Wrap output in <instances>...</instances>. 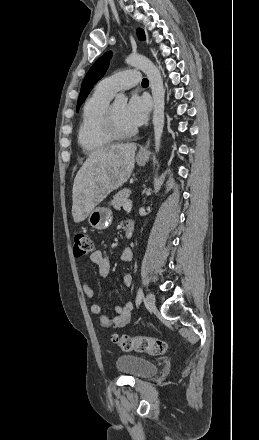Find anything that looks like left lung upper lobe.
I'll return each instance as SVG.
<instances>
[{
	"label": "left lung upper lobe",
	"instance_id": "5c2ea615",
	"mask_svg": "<svg viewBox=\"0 0 259 440\" xmlns=\"http://www.w3.org/2000/svg\"><path fill=\"white\" fill-rule=\"evenodd\" d=\"M138 36L141 40L145 39L144 31L139 29ZM111 56H112L111 51L106 52L92 65V67L86 74L82 82L81 91L77 103V110L84 102L88 94L90 93L91 88L96 84L97 81H99L104 76L105 72L108 69L109 60L111 59Z\"/></svg>",
	"mask_w": 259,
	"mask_h": 440
}]
</instances>
